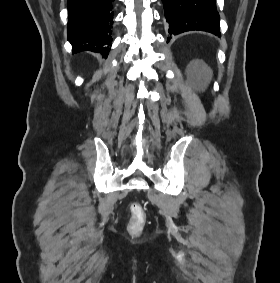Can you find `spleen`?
Masks as SVG:
<instances>
[{"label":"spleen","mask_w":280,"mask_h":283,"mask_svg":"<svg viewBox=\"0 0 280 283\" xmlns=\"http://www.w3.org/2000/svg\"><path fill=\"white\" fill-rule=\"evenodd\" d=\"M212 72L209 68H206L204 71V80L208 82L211 79Z\"/></svg>","instance_id":"obj_1"}]
</instances>
